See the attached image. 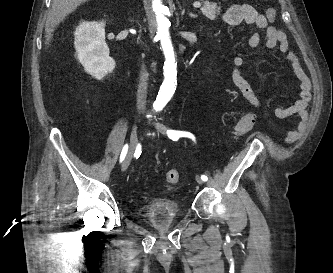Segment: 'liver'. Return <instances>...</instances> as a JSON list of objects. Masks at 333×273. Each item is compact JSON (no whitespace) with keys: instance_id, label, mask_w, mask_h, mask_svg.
<instances>
[{"instance_id":"1","label":"liver","mask_w":333,"mask_h":273,"mask_svg":"<svg viewBox=\"0 0 333 273\" xmlns=\"http://www.w3.org/2000/svg\"><path fill=\"white\" fill-rule=\"evenodd\" d=\"M88 0H53L50 15L46 22V44H49V40L52 38L54 28L62 22L67 15L76 10L78 6L85 3Z\"/></svg>"}]
</instances>
